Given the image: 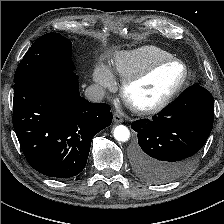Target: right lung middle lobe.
I'll return each instance as SVG.
<instances>
[{"instance_id": "right-lung-middle-lobe-1", "label": "right lung middle lobe", "mask_w": 224, "mask_h": 224, "mask_svg": "<svg viewBox=\"0 0 224 224\" xmlns=\"http://www.w3.org/2000/svg\"><path fill=\"white\" fill-rule=\"evenodd\" d=\"M72 43L58 33L39 37L24 55L14 76V89L26 78L45 70L73 71Z\"/></svg>"}]
</instances>
